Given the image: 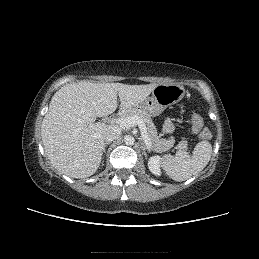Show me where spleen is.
Returning a JSON list of instances; mask_svg holds the SVG:
<instances>
[{
  "label": "spleen",
  "instance_id": "3e777b00",
  "mask_svg": "<svg viewBox=\"0 0 259 259\" xmlns=\"http://www.w3.org/2000/svg\"><path fill=\"white\" fill-rule=\"evenodd\" d=\"M212 155V145L203 140L194 148L192 155L186 151H178L175 156H165L162 167L173 180L181 182L202 171Z\"/></svg>",
  "mask_w": 259,
  "mask_h": 259
}]
</instances>
